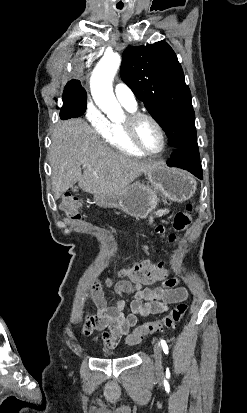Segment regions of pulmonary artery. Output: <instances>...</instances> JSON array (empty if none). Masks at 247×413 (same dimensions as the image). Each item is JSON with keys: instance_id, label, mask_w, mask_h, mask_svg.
Instances as JSON below:
<instances>
[{"instance_id": "obj_1", "label": "pulmonary artery", "mask_w": 247, "mask_h": 413, "mask_svg": "<svg viewBox=\"0 0 247 413\" xmlns=\"http://www.w3.org/2000/svg\"><path fill=\"white\" fill-rule=\"evenodd\" d=\"M115 95L118 101L128 108H135L137 106V100L132 88L125 82H117L114 87Z\"/></svg>"}]
</instances>
